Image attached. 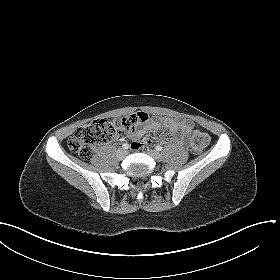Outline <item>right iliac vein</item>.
<instances>
[{
	"instance_id": "63e3f726",
	"label": "right iliac vein",
	"mask_w": 280,
	"mask_h": 280,
	"mask_svg": "<svg viewBox=\"0 0 280 280\" xmlns=\"http://www.w3.org/2000/svg\"><path fill=\"white\" fill-rule=\"evenodd\" d=\"M128 152L126 150H118L117 157L118 159L122 160L127 156Z\"/></svg>"
}]
</instances>
